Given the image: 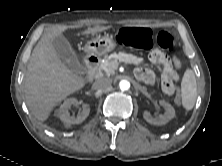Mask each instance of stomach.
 <instances>
[{"instance_id":"obj_1","label":"stomach","mask_w":222,"mask_h":166,"mask_svg":"<svg viewBox=\"0 0 222 166\" xmlns=\"http://www.w3.org/2000/svg\"><path fill=\"white\" fill-rule=\"evenodd\" d=\"M116 47V43L109 36H98L91 39L86 44V49L88 52L103 55L106 54Z\"/></svg>"}]
</instances>
